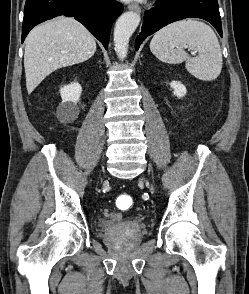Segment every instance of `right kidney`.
<instances>
[{
  "instance_id": "obj_1",
  "label": "right kidney",
  "mask_w": 249,
  "mask_h": 294,
  "mask_svg": "<svg viewBox=\"0 0 249 294\" xmlns=\"http://www.w3.org/2000/svg\"><path fill=\"white\" fill-rule=\"evenodd\" d=\"M82 87L77 82H72L61 87L62 103L57 108L59 117L67 122L74 121L78 116L77 102L80 99Z\"/></svg>"
}]
</instances>
